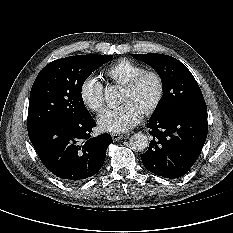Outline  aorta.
<instances>
[{"mask_svg":"<svg viewBox=\"0 0 233 233\" xmlns=\"http://www.w3.org/2000/svg\"><path fill=\"white\" fill-rule=\"evenodd\" d=\"M105 101L109 107L119 103L120 94L116 86H108L104 91ZM130 147L135 151H143L148 147V138L143 133H135L130 138Z\"/></svg>","mask_w":233,"mask_h":233,"instance_id":"aorta-1","label":"aorta"}]
</instances>
